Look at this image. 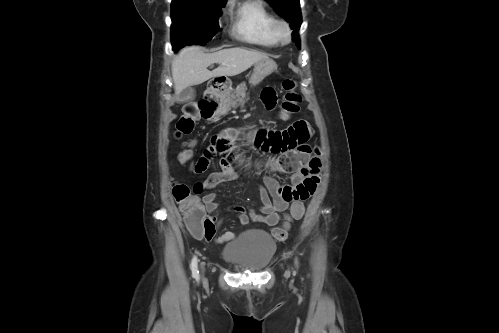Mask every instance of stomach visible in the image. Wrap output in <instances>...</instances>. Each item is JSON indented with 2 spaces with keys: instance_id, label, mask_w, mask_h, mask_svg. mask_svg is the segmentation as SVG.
Listing matches in <instances>:
<instances>
[{
  "instance_id": "obj_1",
  "label": "stomach",
  "mask_w": 499,
  "mask_h": 333,
  "mask_svg": "<svg viewBox=\"0 0 499 333\" xmlns=\"http://www.w3.org/2000/svg\"><path fill=\"white\" fill-rule=\"evenodd\" d=\"M276 69L277 64L272 59H264L255 63L249 83L253 86L258 85L264 78L273 73ZM222 88L225 89L226 85H222L221 89Z\"/></svg>"
}]
</instances>
